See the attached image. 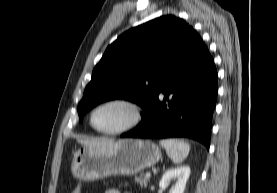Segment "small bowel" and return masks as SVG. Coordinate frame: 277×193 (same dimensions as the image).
<instances>
[{"mask_svg": "<svg viewBox=\"0 0 277 193\" xmlns=\"http://www.w3.org/2000/svg\"><path fill=\"white\" fill-rule=\"evenodd\" d=\"M105 193H129V192L122 191L117 188H111V189L106 190Z\"/></svg>", "mask_w": 277, "mask_h": 193, "instance_id": "small-bowel-1", "label": "small bowel"}]
</instances>
